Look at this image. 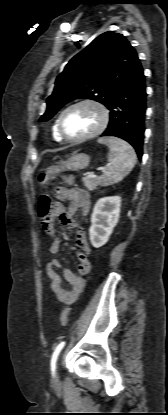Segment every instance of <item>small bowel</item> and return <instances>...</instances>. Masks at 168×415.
Instances as JSON below:
<instances>
[{
  "label": "small bowel",
  "instance_id": "small-bowel-1",
  "mask_svg": "<svg viewBox=\"0 0 168 415\" xmlns=\"http://www.w3.org/2000/svg\"><path fill=\"white\" fill-rule=\"evenodd\" d=\"M54 195L60 201H68L69 208L65 211L60 202L54 203L56 209L55 218H59L64 226L72 228L76 232V243L79 248V265L77 274L69 268L63 266L62 262L57 259H51L46 265V275L50 283V288L56 298L63 304H72L75 302L84 286L83 276L90 270V262L87 256L91 252L86 233L73 219V214L80 210L83 215H88L91 209V201L86 191L80 188L58 187L54 190ZM42 229L51 237L49 251L57 254L60 250V238L56 235L53 223L45 229L41 223ZM58 269H62L63 279L69 284V288L63 285L62 277L57 273Z\"/></svg>",
  "mask_w": 168,
  "mask_h": 415
}]
</instances>
